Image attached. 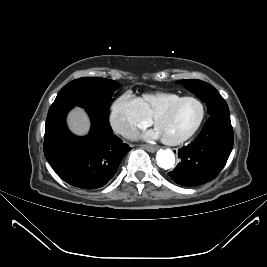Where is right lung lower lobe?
Wrapping results in <instances>:
<instances>
[{
	"mask_svg": "<svg viewBox=\"0 0 267 267\" xmlns=\"http://www.w3.org/2000/svg\"><path fill=\"white\" fill-rule=\"evenodd\" d=\"M71 108L47 116L45 157L68 184L82 189L100 188L115 175L130 147L113 134L109 116L93 109H86L92 122L89 134L73 135L65 122Z\"/></svg>",
	"mask_w": 267,
	"mask_h": 267,
	"instance_id": "right-lung-lower-lobe-1",
	"label": "right lung lower lobe"
}]
</instances>
